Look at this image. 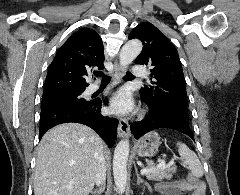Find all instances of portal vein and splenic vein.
Segmentation results:
<instances>
[{
	"instance_id": "1",
	"label": "portal vein and splenic vein",
	"mask_w": 240,
	"mask_h": 195,
	"mask_svg": "<svg viewBox=\"0 0 240 195\" xmlns=\"http://www.w3.org/2000/svg\"><path fill=\"white\" fill-rule=\"evenodd\" d=\"M159 163H157L156 167H151V169H140L141 175H144V173H149V171H153V169H162L164 167L166 161L165 159H158Z\"/></svg>"
}]
</instances>
